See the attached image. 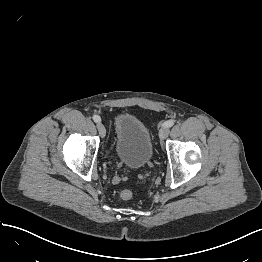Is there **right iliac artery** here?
Returning <instances> with one entry per match:
<instances>
[{
	"mask_svg": "<svg viewBox=\"0 0 262 262\" xmlns=\"http://www.w3.org/2000/svg\"><path fill=\"white\" fill-rule=\"evenodd\" d=\"M93 120H94L96 123L101 122V118H100V116H98V115H94V116H93Z\"/></svg>",
	"mask_w": 262,
	"mask_h": 262,
	"instance_id": "right-iliac-artery-1",
	"label": "right iliac artery"
}]
</instances>
